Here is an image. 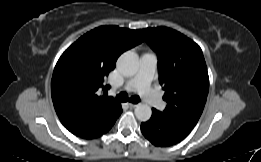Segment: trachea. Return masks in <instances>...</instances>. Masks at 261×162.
Segmentation results:
<instances>
[{
  "mask_svg": "<svg viewBox=\"0 0 261 162\" xmlns=\"http://www.w3.org/2000/svg\"><path fill=\"white\" fill-rule=\"evenodd\" d=\"M116 100L119 102H127L129 100L130 102L135 103V104L140 102V98L138 96H132V97L128 98V95L125 92H121L120 94H118L116 96Z\"/></svg>",
  "mask_w": 261,
  "mask_h": 162,
  "instance_id": "1",
  "label": "trachea"
}]
</instances>
